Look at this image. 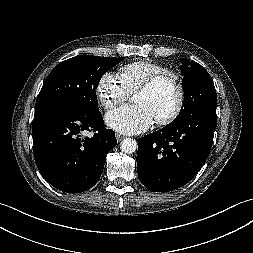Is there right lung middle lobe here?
I'll list each match as a JSON object with an SVG mask.
<instances>
[{
	"label": "right lung middle lobe",
	"instance_id": "1",
	"mask_svg": "<svg viewBox=\"0 0 253 253\" xmlns=\"http://www.w3.org/2000/svg\"><path fill=\"white\" fill-rule=\"evenodd\" d=\"M123 59L79 55L59 63L45 79L35 110L63 106L81 113L98 111L96 89L99 81Z\"/></svg>",
	"mask_w": 253,
	"mask_h": 253
}]
</instances>
